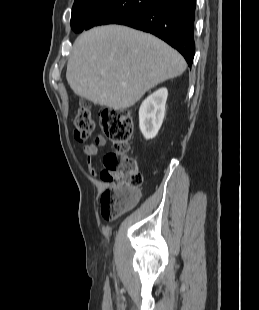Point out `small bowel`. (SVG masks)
<instances>
[{
    "label": "small bowel",
    "mask_w": 259,
    "mask_h": 310,
    "mask_svg": "<svg viewBox=\"0 0 259 310\" xmlns=\"http://www.w3.org/2000/svg\"><path fill=\"white\" fill-rule=\"evenodd\" d=\"M107 144V140L103 136H97L95 142L88 144L83 148V154L87 162L88 172L91 176L97 175V170L93 163V158L97 155L99 147H103Z\"/></svg>",
    "instance_id": "small-bowel-1"
}]
</instances>
